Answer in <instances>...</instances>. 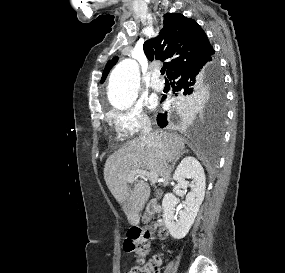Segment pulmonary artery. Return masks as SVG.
I'll return each mask as SVG.
<instances>
[{"instance_id": "1", "label": "pulmonary artery", "mask_w": 285, "mask_h": 273, "mask_svg": "<svg viewBox=\"0 0 285 273\" xmlns=\"http://www.w3.org/2000/svg\"><path fill=\"white\" fill-rule=\"evenodd\" d=\"M164 86V82L160 79V71L155 69L151 74L150 87L155 91H162Z\"/></svg>"}]
</instances>
